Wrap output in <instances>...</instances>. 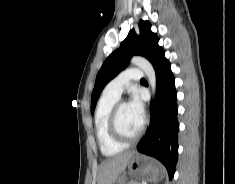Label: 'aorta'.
<instances>
[{"mask_svg": "<svg viewBox=\"0 0 235 184\" xmlns=\"http://www.w3.org/2000/svg\"><path fill=\"white\" fill-rule=\"evenodd\" d=\"M131 64H133V66H137V68H140V70H143L144 74H146V76L149 80L152 94H155V92H156V74H155V70H154L152 64H150V62H148V60H145V58H140V56H133V58L131 60Z\"/></svg>", "mask_w": 235, "mask_h": 184, "instance_id": "762f6f07", "label": "aorta"}]
</instances>
